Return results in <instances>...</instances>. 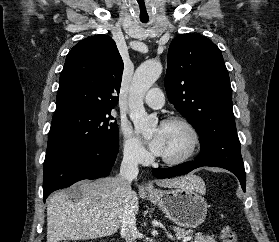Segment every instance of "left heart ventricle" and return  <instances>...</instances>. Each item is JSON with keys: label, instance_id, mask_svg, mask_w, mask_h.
<instances>
[{"label": "left heart ventricle", "instance_id": "left-heart-ventricle-1", "mask_svg": "<svg viewBox=\"0 0 279 242\" xmlns=\"http://www.w3.org/2000/svg\"><path fill=\"white\" fill-rule=\"evenodd\" d=\"M158 130L161 132L163 140L162 157L176 158L188 149L190 136L183 126L178 124L161 125Z\"/></svg>", "mask_w": 279, "mask_h": 242}]
</instances>
